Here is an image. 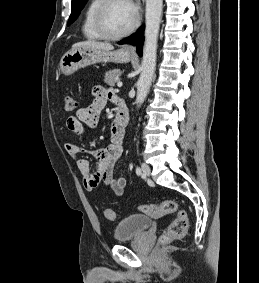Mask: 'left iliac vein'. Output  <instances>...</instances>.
<instances>
[{
  "label": "left iliac vein",
  "mask_w": 259,
  "mask_h": 283,
  "mask_svg": "<svg viewBox=\"0 0 259 283\" xmlns=\"http://www.w3.org/2000/svg\"><path fill=\"white\" fill-rule=\"evenodd\" d=\"M141 168H142L144 176L149 177L151 173L150 167L147 164L143 163Z\"/></svg>",
  "instance_id": "1"
}]
</instances>
